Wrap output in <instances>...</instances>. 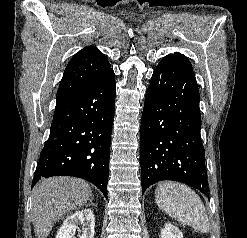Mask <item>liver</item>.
Segmentation results:
<instances>
[{
    "instance_id": "1",
    "label": "liver",
    "mask_w": 247,
    "mask_h": 238,
    "mask_svg": "<svg viewBox=\"0 0 247 238\" xmlns=\"http://www.w3.org/2000/svg\"><path fill=\"white\" fill-rule=\"evenodd\" d=\"M91 195L89 184L82 179L52 177L42 180L33 189L32 222L36 238H47L64 213L82 207Z\"/></svg>"
}]
</instances>
